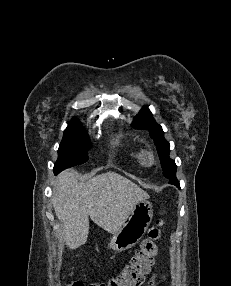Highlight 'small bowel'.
I'll return each instance as SVG.
<instances>
[{"instance_id": "small-bowel-1", "label": "small bowel", "mask_w": 231, "mask_h": 286, "mask_svg": "<svg viewBox=\"0 0 231 286\" xmlns=\"http://www.w3.org/2000/svg\"><path fill=\"white\" fill-rule=\"evenodd\" d=\"M156 279H157V275L154 274V275L149 279L147 286H155Z\"/></svg>"}]
</instances>
